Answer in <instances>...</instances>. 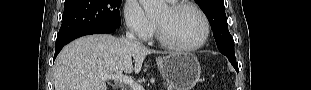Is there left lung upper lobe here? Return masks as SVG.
I'll return each instance as SVG.
<instances>
[{
    "instance_id": "5c2ea615",
    "label": "left lung upper lobe",
    "mask_w": 311,
    "mask_h": 90,
    "mask_svg": "<svg viewBox=\"0 0 311 90\" xmlns=\"http://www.w3.org/2000/svg\"><path fill=\"white\" fill-rule=\"evenodd\" d=\"M199 7L207 16L219 51L229 61H236L234 41L228 30L224 0H197Z\"/></svg>"
}]
</instances>
